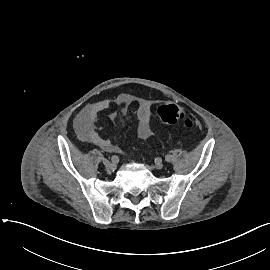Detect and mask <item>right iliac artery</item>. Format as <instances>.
<instances>
[{
    "instance_id": "obj_1",
    "label": "right iliac artery",
    "mask_w": 270,
    "mask_h": 270,
    "mask_svg": "<svg viewBox=\"0 0 270 270\" xmlns=\"http://www.w3.org/2000/svg\"><path fill=\"white\" fill-rule=\"evenodd\" d=\"M111 161H112L114 164H116V163L119 162V157L116 156V155H113V156L111 157Z\"/></svg>"
}]
</instances>
